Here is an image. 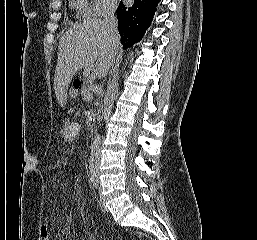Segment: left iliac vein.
Returning <instances> with one entry per match:
<instances>
[{
  "mask_svg": "<svg viewBox=\"0 0 257 240\" xmlns=\"http://www.w3.org/2000/svg\"><path fill=\"white\" fill-rule=\"evenodd\" d=\"M100 202H101V207H102V209L104 210V211H107V208H106V206H105V204H104V202H103V198L100 196Z\"/></svg>",
  "mask_w": 257,
  "mask_h": 240,
  "instance_id": "4c4485c4",
  "label": "left iliac vein"
}]
</instances>
